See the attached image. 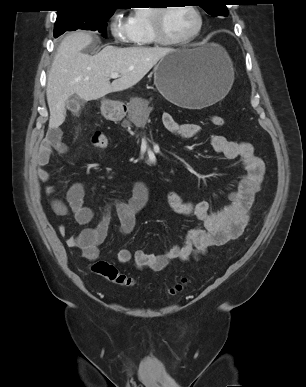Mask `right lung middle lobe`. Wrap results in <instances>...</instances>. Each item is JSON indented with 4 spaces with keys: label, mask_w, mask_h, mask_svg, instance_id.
I'll return each mask as SVG.
<instances>
[{
    "label": "right lung middle lobe",
    "mask_w": 306,
    "mask_h": 387,
    "mask_svg": "<svg viewBox=\"0 0 306 387\" xmlns=\"http://www.w3.org/2000/svg\"><path fill=\"white\" fill-rule=\"evenodd\" d=\"M115 10H72L58 13L54 27V37L66 31L77 29L98 31L106 37L107 21Z\"/></svg>",
    "instance_id": "1"
}]
</instances>
